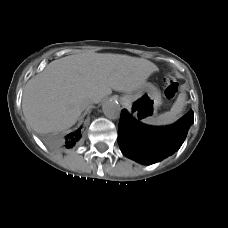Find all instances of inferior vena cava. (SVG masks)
<instances>
[{
    "mask_svg": "<svg viewBox=\"0 0 228 228\" xmlns=\"http://www.w3.org/2000/svg\"><path fill=\"white\" fill-rule=\"evenodd\" d=\"M93 102L90 98H85L82 103H81V107L83 109L87 108L89 105H91Z\"/></svg>",
    "mask_w": 228,
    "mask_h": 228,
    "instance_id": "1",
    "label": "inferior vena cava"
}]
</instances>
